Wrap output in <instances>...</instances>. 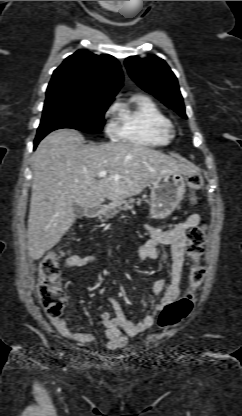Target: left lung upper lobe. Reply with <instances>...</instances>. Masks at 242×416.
<instances>
[{
  "label": "left lung upper lobe",
  "instance_id": "left-lung-upper-lobe-1",
  "mask_svg": "<svg viewBox=\"0 0 242 416\" xmlns=\"http://www.w3.org/2000/svg\"><path fill=\"white\" fill-rule=\"evenodd\" d=\"M125 65L139 87L187 118L177 78L163 59L154 55L145 59L131 56Z\"/></svg>",
  "mask_w": 242,
  "mask_h": 416
}]
</instances>
